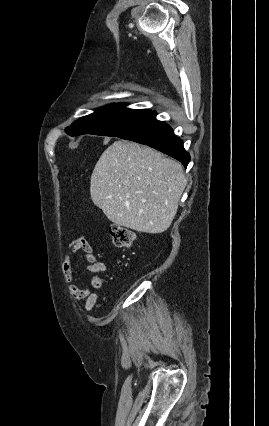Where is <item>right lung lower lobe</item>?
Masks as SVG:
<instances>
[{"instance_id": "obj_1", "label": "right lung lower lobe", "mask_w": 269, "mask_h": 426, "mask_svg": "<svg viewBox=\"0 0 269 426\" xmlns=\"http://www.w3.org/2000/svg\"><path fill=\"white\" fill-rule=\"evenodd\" d=\"M66 132L73 136L68 129ZM118 137L155 148L177 159L185 167L190 161V155L185 151L182 140L174 135L169 125L156 119V112H152L133 130Z\"/></svg>"}]
</instances>
